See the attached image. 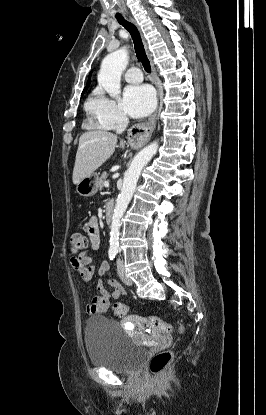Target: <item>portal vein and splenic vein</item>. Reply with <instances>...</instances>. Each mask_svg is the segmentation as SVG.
Masks as SVG:
<instances>
[{
    "instance_id": "1",
    "label": "portal vein and splenic vein",
    "mask_w": 266,
    "mask_h": 415,
    "mask_svg": "<svg viewBox=\"0 0 266 415\" xmlns=\"http://www.w3.org/2000/svg\"><path fill=\"white\" fill-rule=\"evenodd\" d=\"M104 186H105V187H109V182H108V181H105V182H104Z\"/></svg>"
}]
</instances>
